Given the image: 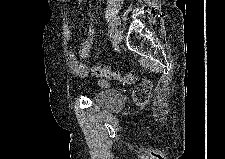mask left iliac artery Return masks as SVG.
<instances>
[{
    "label": "left iliac artery",
    "mask_w": 225,
    "mask_h": 159,
    "mask_svg": "<svg viewBox=\"0 0 225 159\" xmlns=\"http://www.w3.org/2000/svg\"><path fill=\"white\" fill-rule=\"evenodd\" d=\"M114 31L115 30L113 28H111L109 30V38H110V41H115Z\"/></svg>",
    "instance_id": "left-iliac-artery-1"
}]
</instances>
